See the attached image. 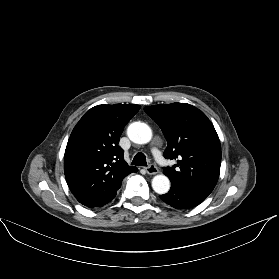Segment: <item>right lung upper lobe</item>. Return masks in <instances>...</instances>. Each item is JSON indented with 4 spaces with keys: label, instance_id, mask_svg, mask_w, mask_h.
<instances>
[{
    "label": "right lung upper lobe",
    "instance_id": "1",
    "mask_svg": "<svg viewBox=\"0 0 279 279\" xmlns=\"http://www.w3.org/2000/svg\"><path fill=\"white\" fill-rule=\"evenodd\" d=\"M140 105H98L74 127L64 155L67 184L76 199L87 207L111 201L122 180L137 168L124 161L118 145L124 127Z\"/></svg>",
    "mask_w": 279,
    "mask_h": 279
}]
</instances>
